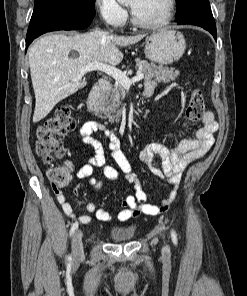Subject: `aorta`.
<instances>
[{
	"label": "aorta",
	"mask_w": 247,
	"mask_h": 296,
	"mask_svg": "<svg viewBox=\"0 0 247 296\" xmlns=\"http://www.w3.org/2000/svg\"><path fill=\"white\" fill-rule=\"evenodd\" d=\"M119 3H125L128 2V0H117Z\"/></svg>",
	"instance_id": "762f6f07"
}]
</instances>
